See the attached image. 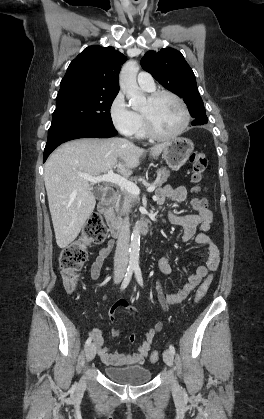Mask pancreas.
I'll return each mask as SVG.
<instances>
[{"instance_id": "1", "label": "pancreas", "mask_w": 264, "mask_h": 419, "mask_svg": "<svg viewBox=\"0 0 264 419\" xmlns=\"http://www.w3.org/2000/svg\"><path fill=\"white\" fill-rule=\"evenodd\" d=\"M158 179L155 182V187H161L170 176V171L166 167H161L157 170ZM140 199L138 196L130 194L128 192L123 193V201H118L115 205L117 214H123L124 212L130 211L131 207L136 203H139Z\"/></svg>"}]
</instances>
